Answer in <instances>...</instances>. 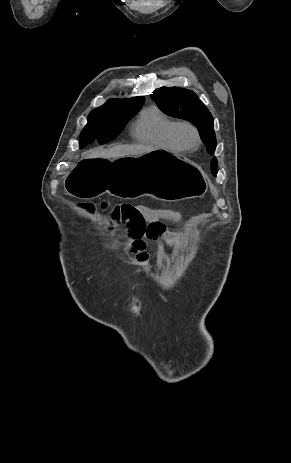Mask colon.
I'll return each instance as SVG.
<instances>
[{"mask_svg":"<svg viewBox=\"0 0 291 463\" xmlns=\"http://www.w3.org/2000/svg\"><path fill=\"white\" fill-rule=\"evenodd\" d=\"M102 206H103V208H106L107 205L104 203ZM85 207L88 210L93 209L92 205H89V204L86 205ZM129 207L130 206H127V205H120V206H117L114 211H115L116 214H123L125 211H127L129 209Z\"/></svg>","mask_w":291,"mask_h":463,"instance_id":"colon-1","label":"colon"}]
</instances>
